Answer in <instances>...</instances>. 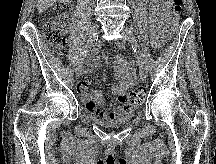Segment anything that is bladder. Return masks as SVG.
<instances>
[{
    "label": "bladder",
    "mask_w": 216,
    "mask_h": 164,
    "mask_svg": "<svg viewBox=\"0 0 216 164\" xmlns=\"http://www.w3.org/2000/svg\"><path fill=\"white\" fill-rule=\"evenodd\" d=\"M134 115H135V110L129 109L115 119L109 121L94 119V122L98 125L105 126V127H117L128 123L134 117Z\"/></svg>",
    "instance_id": "31cf9c89"
}]
</instances>
